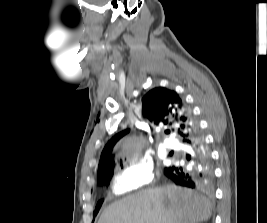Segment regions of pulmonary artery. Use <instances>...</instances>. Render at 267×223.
<instances>
[{"label":"pulmonary artery","mask_w":267,"mask_h":223,"mask_svg":"<svg viewBox=\"0 0 267 223\" xmlns=\"http://www.w3.org/2000/svg\"><path fill=\"white\" fill-rule=\"evenodd\" d=\"M164 146L166 148H175L176 144H174L173 141L166 139L164 140Z\"/></svg>","instance_id":"pulmonary-artery-1"}]
</instances>
